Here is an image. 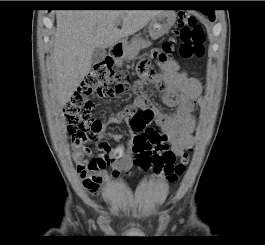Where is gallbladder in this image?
I'll use <instances>...</instances> for the list:
<instances>
[{"instance_id": "1", "label": "gallbladder", "mask_w": 265, "mask_h": 245, "mask_svg": "<svg viewBox=\"0 0 265 245\" xmlns=\"http://www.w3.org/2000/svg\"><path fill=\"white\" fill-rule=\"evenodd\" d=\"M106 57V50L104 48H95L91 57V64L95 65L103 61Z\"/></svg>"}]
</instances>
